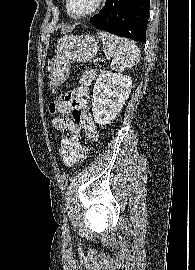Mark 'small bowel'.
<instances>
[{
	"instance_id": "obj_1",
	"label": "small bowel",
	"mask_w": 195,
	"mask_h": 270,
	"mask_svg": "<svg viewBox=\"0 0 195 270\" xmlns=\"http://www.w3.org/2000/svg\"><path fill=\"white\" fill-rule=\"evenodd\" d=\"M94 72L86 71L80 78L79 86L72 91L73 101L71 105L59 114L71 113V117L55 116L52 126L62 134L58 148V157L66 166H72L78 161L81 150L80 140L83 134L88 139L97 137L96 124L87 108V99L90 87L94 80ZM68 131L70 136H65Z\"/></svg>"
}]
</instances>
